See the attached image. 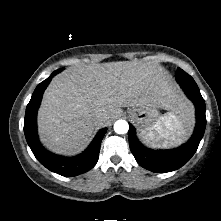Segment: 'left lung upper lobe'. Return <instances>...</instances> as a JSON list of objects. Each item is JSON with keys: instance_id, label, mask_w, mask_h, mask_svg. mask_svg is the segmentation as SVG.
Masks as SVG:
<instances>
[{"instance_id": "5c2ea615", "label": "left lung upper lobe", "mask_w": 221, "mask_h": 221, "mask_svg": "<svg viewBox=\"0 0 221 221\" xmlns=\"http://www.w3.org/2000/svg\"><path fill=\"white\" fill-rule=\"evenodd\" d=\"M176 79L180 84L196 85L194 79L180 68H177Z\"/></svg>"}]
</instances>
